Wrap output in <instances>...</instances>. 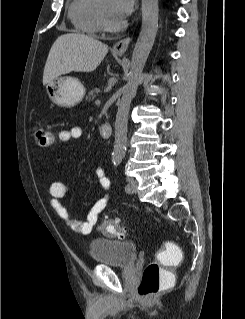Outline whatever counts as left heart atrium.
Segmentation results:
<instances>
[{
    "mask_svg": "<svg viewBox=\"0 0 245 319\" xmlns=\"http://www.w3.org/2000/svg\"><path fill=\"white\" fill-rule=\"evenodd\" d=\"M135 0H113V13L115 17L123 21L133 11Z\"/></svg>",
    "mask_w": 245,
    "mask_h": 319,
    "instance_id": "obj_1",
    "label": "left heart atrium"
}]
</instances>
